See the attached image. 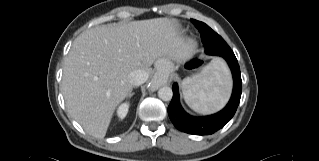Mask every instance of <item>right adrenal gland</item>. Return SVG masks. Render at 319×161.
<instances>
[{
    "instance_id": "2a0ac1e0",
    "label": "right adrenal gland",
    "mask_w": 319,
    "mask_h": 161,
    "mask_svg": "<svg viewBox=\"0 0 319 161\" xmlns=\"http://www.w3.org/2000/svg\"><path fill=\"white\" fill-rule=\"evenodd\" d=\"M133 88L130 90L129 94H128V98L130 99L133 96V92H132Z\"/></svg>"
}]
</instances>
